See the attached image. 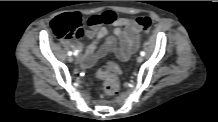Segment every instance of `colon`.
I'll return each instance as SVG.
<instances>
[{"instance_id":"obj_1","label":"colon","mask_w":218,"mask_h":122,"mask_svg":"<svg viewBox=\"0 0 218 122\" xmlns=\"http://www.w3.org/2000/svg\"><path fill=\"white\" fill-rule=\"evenodd\" d=\"M112 12V11H107ZM102 14H93V16ZM88 17V27H89ZM139 29L146 32L151 26L150 17L144 16L136 20ZM83 19L78 13H69L58 16L52 22V29L54 33L61 39H75L83 34ZM90 28V27H89ZM122 69L114 62H108L105 66L97 72V77L104 83V90L108 94H115L119 89V78L122 76Z\"/></svg>"}]
</instances>
